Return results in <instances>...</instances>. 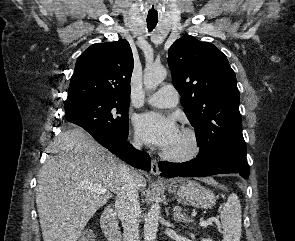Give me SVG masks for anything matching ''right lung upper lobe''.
Here are the masks:
<instances>
[{
  "mask_svg": "<svg viewBox=\"0 0 295 241\" xmlns=\"http://www.w3.org/2000/svg\"><path fill=\"white\" fill-rule=\"evenodd\" d=\"M133 66L127 40L91 45L77 59L65 109L87 101H130Z\"/></svg>",
  "mask_w": 295,
  "mask_h": 241,
  "instance_id": "obj_1",
  "label": "right lung upper lobe"
}]
</instances>
